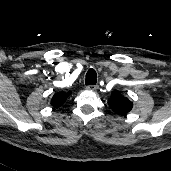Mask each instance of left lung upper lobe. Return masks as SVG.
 Instances as JSON below:
<instances>
[{"mask_svg": "<svg viewBox=\"0 0 171 171\" xmlns=\"http://www.w3.org/2000/svg\"><path fill=\"white\" fill-rule=\"evenodd\" d=\"M108 102L111 109L120 116H125L133 108V103L119 91H113Z\"/></svg>", "mask_w": 171, "mask_h": 171, "instance_id": "1", "label": "left lung upper lobe"}]
</instances>
